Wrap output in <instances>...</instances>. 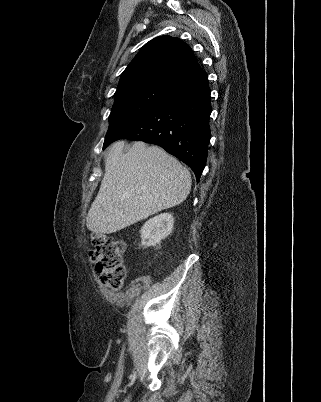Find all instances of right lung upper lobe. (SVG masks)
<instances>
[{"label":"right lung upper lobe","mask_w":321,"mask_h":402,"mask_svg":"<svg viewBox=\"0 0 321 402\" xmlns=\"http://www.w3.org/2000/svg\"><path fill=\"white\" fill-rule=\"evenodd\" d=\"M199 71L187 44L170 36L157 37L146 43L124 70L116 92L148 83L173 86Z\"/></svg>","instance_id":"1"}]
</instances>
